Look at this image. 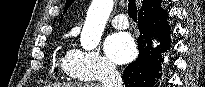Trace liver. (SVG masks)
I'll return each mask as SVG.
<instances>
[{"label": "liver", "mask_w": 205, "mask_h": 87, "mask_svg": "<svg viewBox=\"0 0 205 87\" xmlns=\"http://www.w3.org/2000/svg\"><path fill=\"white\" fill-rule=\"evenodd\" d=\"M51 87H101L99 84H83V83H63L53 84Z\"/></svg>", "instance_id": "6515ba94"}]
</instances>
